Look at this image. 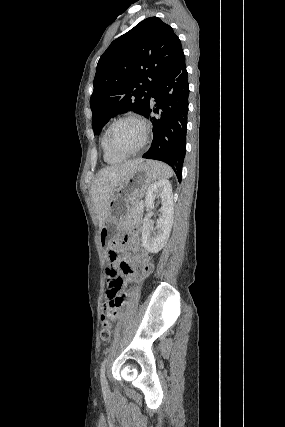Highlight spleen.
Wrapping results in <instances>:
<instances>
[{
	"label": "spleen",
	"mask_w": 285,
	"mask_h": 427,
	"mask_svg": "<svg viewBox=\"0 0 285 427\" xmlns=\"http://www.w3.org/2000/svg\"><path fill=\"white\" fill-rule=\"evenodd\" d=\"M147 163L153 169L156 179H168L173 176V171L168 165L153 160H148Z\"/></svg>",
	"instance_id": "3e777b00"
}]
</instances>
